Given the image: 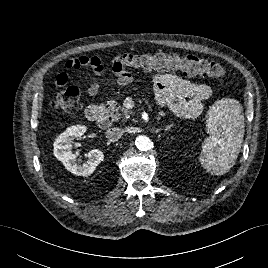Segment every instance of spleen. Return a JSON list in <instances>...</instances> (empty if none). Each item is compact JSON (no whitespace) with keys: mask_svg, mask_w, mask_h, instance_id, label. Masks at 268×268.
<instances>
[{"mask_svg":"<svg viewBox=\"0 0 268 268\" xmlns=\"http://www.w3.org/2000/svg\"><path fill=\"white\" fill-rule=\"evenodd\" d=\"M209 137L202 144L199 161L214 175H224L235 164L244 137L243 107L239 101L224 98L207 112Z\"/></svg>","mask_w":268,"mask_h":268,"instance_id":"spleen-1","label":"spleen"}]
</instances>
